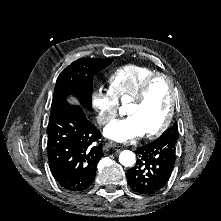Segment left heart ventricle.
I'll return each instance as SVG.
<instances>
[{
    "label": "left heart ventricle",
    "mask_w": 221,
    "mask_h": 221,
    "mask_svg": "<svg viewBox=\"0 0 221 221\" xmlns=\"http://www.w3.org/2000/svg\"><path fill=\"white\" fill-rule=\"evenodd\" d=\"M170 103V91L165 80L156 81L140 105H127L125 113L134 119L144 134L157 129L164 121Z\"/></svg>",
    "instance_id": "obj_1"
}]
</instances>
